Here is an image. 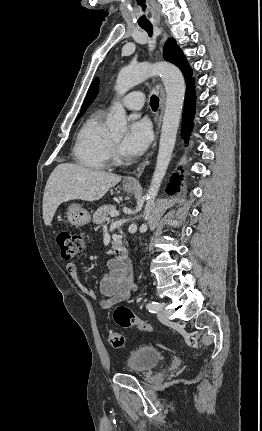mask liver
Listing matches in <instances>:
<instances>
[{
  "label": "liver",
  "mask_w": 262,
  "mask_h": 431,
  "mask_svg": "<svg viewBox=\"0 0 262 431\" xmlns=\"http://www.w3.org/2000/svg\"><path fill=\"white\" fill-rule=\"evenodd\" d=\"M121 181V176L92 170L72 163L56 166L48 178L43 195V220L51 224L60 204L70 200L96 201Z\"/></svg>",
  "instance_id": "liver-1"
}]
</instances>
